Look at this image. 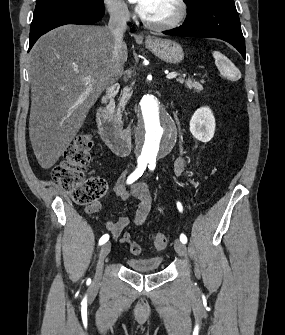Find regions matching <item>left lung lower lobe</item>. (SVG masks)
Wrapping results in <instances>:
<instances>
[{"label": "left lung lower lobe", "mask_w": 285, "mask_h": 335, "mask_svg": "<svg viewBox=\"0 0 285 335\" xmlns=\"http://www.w3.org/2000/svg\"><path fill=\"white\" fill-rule=\"evenodd\" d=\"M164 33L222 39L233 45L245 59V41L233 0H207L194 10L188 11V16L180 28Z\"/></svg>", "instance_id": "1"}]
</instances>
